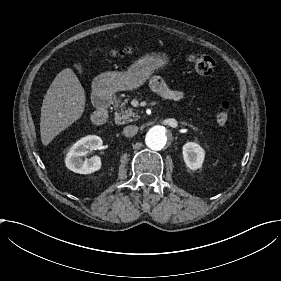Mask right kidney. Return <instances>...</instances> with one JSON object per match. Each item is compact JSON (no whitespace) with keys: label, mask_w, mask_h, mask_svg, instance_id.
Listing matches in <instances>:
<instances>
[{"label":"right kidney","mask_w":281,"mask_h":281,"mask_svg":"<svg viewBox=\"0 0 281 281\" xmlns=\"http://www.w3.org/2000/svg\"><path fill=\"white\" fill-rule=\"evenodd\" d=\"M102 139L96 135H88L77 141L69 150L65 158V165L75 173L89 174L101 168V159L93 156L83 160L82 157L88 154V150H100Z\"/></svg>","instance_id":"ca27d5eb"}]
</instances>
